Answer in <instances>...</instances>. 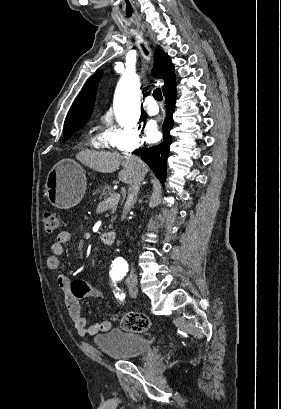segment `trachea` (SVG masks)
Returning a JSON list of instances; mask_svg holds the SVG:
<instances>
[{
  "instance_id": "1",
  "label": "trachea",
  "mask_w": 281,
  "mask_h": 409,
  "mask_svg": "<svg viewBox=\"0 0 281 409\" xmlns=\"http://www.w3.org/2000/svg\"><path fill=\"white\" fill-rule=\"evenodd\" d=\"M141 47H142V49H143L145 55H148L149 52H148V50L146 49V47H145L143 44H141ZM153 97H154V99L157 100L158 102H161V101L163 100V96H162V93H161V89H160L159 87L156 88V89L153 91Z\"/></svg>"
}]
</instances>
